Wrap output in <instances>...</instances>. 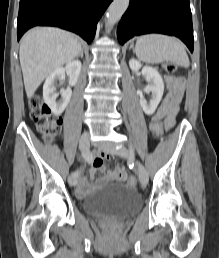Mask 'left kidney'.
<instances>
[{
    "instance_id": "obj_1",
    "label": "left kidney",
    "mask_w": 219,
    "mask_h": 258,
    "mask_svg": "<svg viewBox=\"0 0 219 258\" xmlns=\"http://www.w3.org/2000/svg\"><path fill=\"white\" fill-rule=\"evenodd\" d=\"M129 66L133 71H137L142 67L141 63L136 59H131L129 61ZM142 75L150 83L146 86V90L152 93V99L150 100V103H147L145 98L141 96L140 105L145 114L152 115L162 99L164 92V83L159 72L153 67L144 66L142 68Z\"/></svg>"
}]
</instances>
